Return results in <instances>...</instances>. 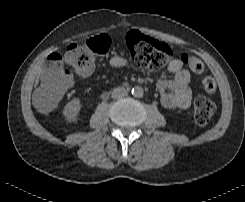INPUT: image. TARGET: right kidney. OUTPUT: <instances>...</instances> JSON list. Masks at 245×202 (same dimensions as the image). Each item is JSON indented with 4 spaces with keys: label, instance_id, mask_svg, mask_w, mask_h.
Listing matches in <instances>:
<instances>
[{
    "label": "right kidney",
    "instance_id": "ca27d5eb",
    "mask_svg": "<svg viewBox=\"0 0 245 202\" xmlns=\"http://www.w3.org/2000/svg\"><path fill=\"white\" fill-rule=\"evenodd\" d=\"M81 109V103L79 98L72 99L69 103L64 107L63 114L65 119L69 122L75 121L78 117V113Z\"/></svg>",
    "mask_w": 245,
    "mask_h": 202
}]
</instances>
